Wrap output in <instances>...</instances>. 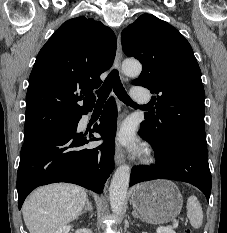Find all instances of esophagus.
Here are the masks:
<instances>
[{
	"label": "esophagus",
	"instance_id": "1",
	"mask_svg": "<svg viewBox=\"0 0 227 233\" xmlns=\"http://www.w3.org/2000/svg\"><path fill=\"white\" fill-rule=\"evenodd\" d=\"M122 57H123V52H122L121 36L119 34L117 36V50H116V57L114 63L115 68L120 69ZM121 77L124 82L127 81V79L124 76ZM124 161H125L124 150L119 144H117L115 149V164L120 165Z\"/></svg>",
	"mask_w": 227,
	"mask_h": 233
}]
</instances>
